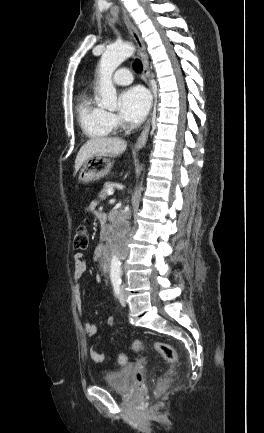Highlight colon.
I'll return each mask as SVG.
<instances>
[{
    "label": "colon",
    "mask_w": 264,
    "mask_h": 433,
    "mask_svg": "<svg viewBox=\"0 0 264 433\" xmlns=\"http://www.w3.org/2000/svg\"><path fill=\"white\" fill-rule=\"evenodd\" d=\"M73 244H74V248L77 250L84 251L88 248L89 235H88L87 228L85 226H79L77 228L74 235ZM149 347L155 352H157L158 354H160L163 357V359L166 361L168 365L166 378L167 379L171 378L175 374L177 361H178L177 353L175 349L170 344L163 341H154L149 345ZM145 348H146V344L143 341L141 340L134 341L133 349L135 352L141 353L145 350ZM127 360L128 358L125 354L118 355L117 358L118 364L124 365L127 363Z\"/></svg>",
    "instance_id": "1"
}]
</instances>
